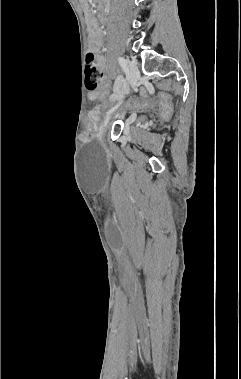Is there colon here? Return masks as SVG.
I'll return each instance as SVG.
<instances>
[{
	"mask_svg": "<svg viewBox=\"0 0 241 379\" xmlns=\"http://www.w3.org/2000/svg\"><path fill=\"white\" fill-rule=\"evenodd\" d=\"M99 78H100V73H99L98 68H97L95 57L92 53H88L87 58H86V78H85L86 86H97ZM112 93H113L112 87H102L100 89V95H101L102 99H107L108 95L112 94ZM161 101H163V100H161ZM122 102L125 105L128 104L127 106L130 109L133 108V106H134L133 103H131V101H128V99H126V98L123 99ZM128 102H130V103H128ZM135 102H138V101H135ZM141 102H143V101H141ZM152 102H154V101H152ZM159 105H160V108L165 113H169L170 110L175 109L174 103H166L165 101H163ZM136 106H138V105H136Z\"/></svg>",
	"mask_w": 241,
	"mask_h": 379,
	"instance_id": "5ec220e1",
	"label": "colon"
}]
</instances>
